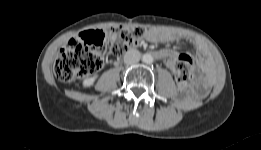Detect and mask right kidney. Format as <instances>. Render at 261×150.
I'll list each match as a JSON object with an SVG mask.
<instances>
[{"instance_id":"1","label":"right kidney","mask_w":261,"mask_h":150,"mask_svg":"<svg viewBox=\"0 0 261 150\" xmlns=\"http://www.w3.org/2000/svg\"><path fill=\"white\" fill-rule=\"evenodd\" d=\"M97 76H93L91 78L85 79L83 81V86L84 87H90L91 85L94 84L95 80H96Z\"/></svg>"}]
</instances>
